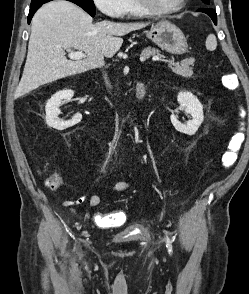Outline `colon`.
Masks as SVG:
<instances>
[{"instance_id":"5ec220e1","label":"colon","mask_w":249,"mask_h":294,"mask_svg":"<svg viewBox=\"0 0 249 294\" xmlns=\"http://www.w3.org/2000/svg\"><path fill=\"white\" fill-rule=\"evenodd\" d=\"M222 82L224 87L229 90L230 92H236L237 86L231 81V78L228 75H224L222 78ZM239 116H241V109L240 107L237 108ZM242 134L240 132H236L232 140L229 144V151L225 152L222 156V166L224 168H229L233 165L234 161L236 160V152L240 148V144L242 142ZM61 183V179L58 174L52 173L47 179V185L51 189H55L59 187ZM111 222H115V220H111Z\"/></svg>"}]
</instances>
